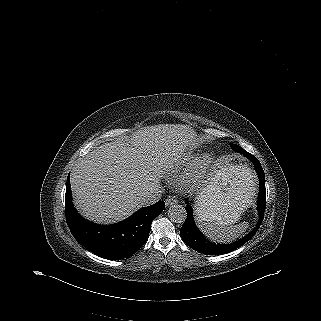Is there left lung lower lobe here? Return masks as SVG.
Listing matches in <instances>:
<instances>
[{
	"instance_id": "1",
	"label": "left lung lower lobe",
	"mask_w": 321,
	"mask_h": 321,
	"mask_svg": "<svg viewBox=\"0 0 321 321\" xmlns=\"http://www.w3.org/2000/svg\"><path fill=\"white\" fill-rule=\"evenodd\" d=\"M239 153L246 156L250 161L253 162L254 167L256 169V172L259 177V196L257 201V208L259 212V221L257 223V226L244 238L230 244H215L207 241L201 232L197 229L194 219H193V213H192V207L186 202V211H187V218L180 230L181 237L183 241L192 249L196 250L197 252L206 254V255H222L228 252H231L247 241H249L257 232L263 217H264V211L266 206V189H265V175L264 171L261 167L260 162L258 159L253 156L252 154L245 151L243 148L238 150Z\"/></svg>"
}]
</instances>
